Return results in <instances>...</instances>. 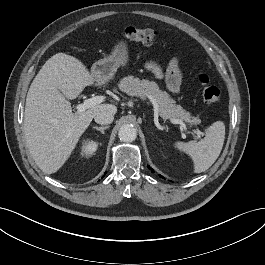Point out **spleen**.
Here are the masks:
<instances>
[{"instance_id":"spleen-1","label":"spleen","mask_w":265,"mask_h":265,"mask_svg":"<svg viewBox=\"0 0 265 265\" xmlns=\"http://www.w3.org/2000/svg\"><path fill=\"white\" fill-rule=\"evenodd\" d=\"M225 139V125L214 122L207 128L201 141L176 142L175 147L189 154L194 162V172L201 173L210 168L219 157Z\"/></svg>"}]
</instances>
